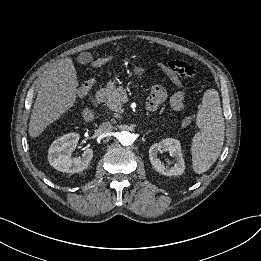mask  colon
Listing matches in <instances>:
<instances>
[{
	"mask_svg": "<svg viewBox=\"0 0 261 261\" xmlns=\"http://www.w3.org/2000/svg\"><path fill=\"white\" fill-rule=\"evenodd\" d=\"M110 60L109 56H105L102 58L103 62H108ZM168 70L175 80H182L186 78H192L196 75V69L194 66L188 65L183 61L180 60H173L168 63ZM91 87L89 82H86L80 89L79 93L81 95L87 94ZM190 120V118H187Z\"/></svg>",
	"mask_w": 261,
	"mask_h": 261,
	"instance_id": "obj_1",
	"label": "colon"
}]
</instances>
